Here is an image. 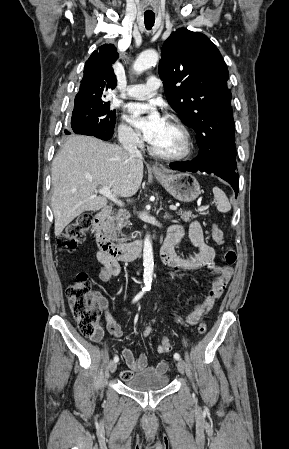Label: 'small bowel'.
<instances>
[{"label":"small bowel","mask_w":289,"mask_h":449,"mask_svg":"<svg viewBox=\"0 0 289 449\" xmlns=\"http://www.w3.org/2000/svg\"><path fill=\"white\" fill-rule=\"evenodd\" d=\"M182 236L183 230L179 226L173 225L170 227L168 236L161 248L162 261L172 269L191 271L205 267L217 275L203 302L195 307L187 316V324L194 326L199 322L203 315L212 309L215 302L221 297L225 287L232 278L233 268L230 266H219L216 264L215 251L210 245L205 243L203 232L198 222H192L189 227L190 239L198 249L196 253L184 257L176 252L174 244L179 241ZM97 259L102 266L98 274L100 281L107 282L112 277H117L120 275V265L114 258L98 251ZM106 306V301L101 299V307L105 309ZM105 321L108 331L115 338H121L122 330L120 326L107 312L105 313ZM102 336L103 329L99 327L97 334L91 339L95 342H99L102 339ZM162 347L163 346L160 344L157 348V352L159 354H164L160 351ZM121 354L126 365L128 366L127 369L121 371V378L124 381L131 379L136 373L164 374L168 370V362L165 360H161L156 366H149L148 357L145 353H141L135 357L129 348H123L121 350Z\"/></svg>","instance_id":"1"}]
</instances>
